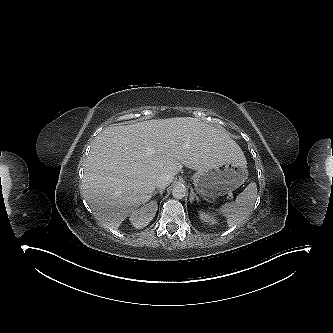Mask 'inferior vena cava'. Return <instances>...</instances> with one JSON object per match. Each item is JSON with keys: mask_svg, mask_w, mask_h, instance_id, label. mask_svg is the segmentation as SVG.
<instances>
[{"mask_svg": "<svg viewBox=\"0 0 333 333\" xmlns=\"http://www.w3.org/2000/svg\"><path fill=\"white\" fill-rule=\"evenodd\" d=\"M174 176L169 175V174H163L160 175L157 180H156V187L162 189V188H166L167 186L170 185V183L173 181Z\"/></svg>", "mask_w": 333, "mask_h": 333, "instance_id": "inferior-vena-cava-1", "label": "inferior vena cava"}]
</instances>
